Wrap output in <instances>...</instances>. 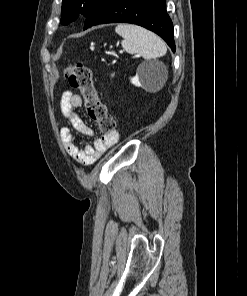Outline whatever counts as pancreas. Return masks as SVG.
Listing matches in <instances>:
<instances>
[{"instance_id":"cf45deb5","label":"pancreas","mask_w":247,"mask_h":296,"mask_svg":"<svg viewBox=\"0 0 247 296\" xmlns=\"http://www.w3.org/2000/svg\"><path fill=\"white\" fill-rule=\"evenodd\" d=\"M113 76H114V73L111 74V77H113Z\"/></svg>"}]
</instances>
